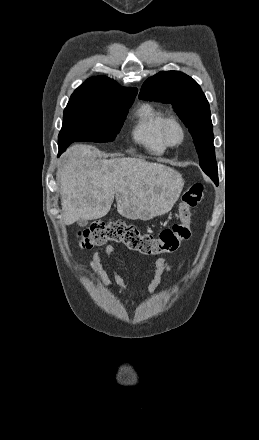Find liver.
I'll return each mask as SVG.
<instances>
[{
  "instance_id": "liver-1",
  "label": "liver",
  "mask_w": 259,
  "mask_h": 440,
  "mask_svg": "<svg viewBox=\"0 0 259 440\" xmlns=\"http://www.w3.org/2000/svg\"><path fill=\"white\" fill-rule=\"evenodd\" d=\"M64 222L94 220L107 215L116 198L118 213L132 220H150L169 212L183 182L170 167L141 158H98L92 146L67 149L58 169Z\"/></svg>"
}]
</instances>
